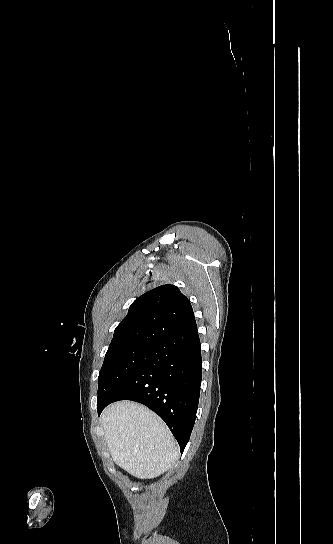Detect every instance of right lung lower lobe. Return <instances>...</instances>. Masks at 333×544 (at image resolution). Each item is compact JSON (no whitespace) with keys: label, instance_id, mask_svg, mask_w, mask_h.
Instances as JSON below:
<instances>
[{"label":"right lung lower lobe","instance_id":"1","mask_svg":"<svg viewBox=\"0 0 333 544\" xmlns=\"http://www.w3.org/2000/svg\"><path fill=\"white\" fill-rule=\"evenodd\" d=\"M197 326L152 345V349L117 394L97 407L98 415L112 402L133 400L158 414L183 453L198 408L202 372Z\"/></svg>","mask_w":333,"mask_h":544}]
</instances>
